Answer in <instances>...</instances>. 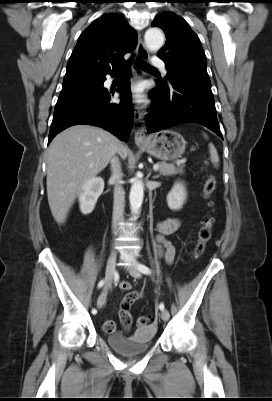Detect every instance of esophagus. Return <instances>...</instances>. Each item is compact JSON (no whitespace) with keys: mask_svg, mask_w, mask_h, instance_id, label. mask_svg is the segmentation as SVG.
I'll return each instance as SVG.
<instances>
[{"mask_svg":"<svg viewBox=\"0 0 272 401\" xmlns=\"http://www.w3.org/2000/svg\"><path fill=\"white\" fill-rule=\"evenodd\" d=\"M137 59L147 60L149 58V53L145 48L144 42L142 40L141 34L138 35V43L136 48ZM135 77L138 78L141 75L140 69L138 67L137 60L134 61L132 65ZM134 120L135 122H142V113L138 107L134 110ZM134 140L137 145H142L146 143L147 137L143 127L136 129L134 133Z\"/></svg>","mask_w":272,"mask_h":401,"instance_id":"1","label":"esophagus"}]
</instances>
